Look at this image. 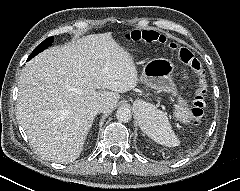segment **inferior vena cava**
<instances>
[{
	"label": "inferior vena cava",
	"mask_w": 240,
	"mask_h": 191,
	"mask_svg": "<svg viewBox=\"0 0 240 191\" xmlns=\"http://www.w3.org/2000/svg\"><path fill=\"white\" fill-rule=\"evenodd\" d=\"M107 109H108V107H107V105L104 104V103H97V104L94 106V110H95V112H97V113L105 112Z\"/></svg>",
	"instance_id": "1"
}]
</instances>
